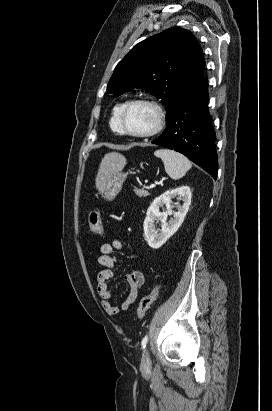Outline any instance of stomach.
<instances>
[{
    "mask_svg": "<svg viewBox=\"0 0 272 411\" xmlns=\"http://www.w3.org/2000/svg\"><path fill=\"white\" fill-rule=\"evenodd\" d=\"M128 173L122 172V169L114 173L105 183L102 195L106 200H113L122 189L123 183Z\"/></svg>",
    "mask_w": 272,
    "mask_h": 411,
    "instance_id": "obj_1",
    "label": "stomach"
}]
</instances>
